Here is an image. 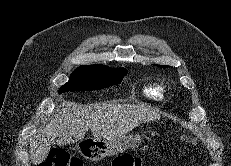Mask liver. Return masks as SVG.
Segmentation results:
<instances>
[{
    "instance_id": "obj_1",
    "label": "liver",
    "mask_w": 231,
    "mask_h": 166,
    "mask_svg": "<svg viewBox=\"0 0 231 166\" xmlns=\"http://www.w3.org/2000/svg\"><path fill=\"white\" fill-rule=\"evenodd\" d=\"M160 112L140 104L98 103L80 105L63 102L55 117L30 141V159L42 163L51 145H67L82 140L90 129L97 140H113L125 136L141 123L160 119Z\"/></svg>"
}]
</instances>
